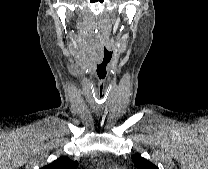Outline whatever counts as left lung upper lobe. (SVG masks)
<instances>
[{"instance_id":"left-lung-upper-lobe-1","label":"left lung upper lobe","mask_w":208,"mask_h":169,"mask_svg":"<svg viewBox=\"0 0 208 169\" xmlns=\"http://www.w3.org/2000/svg\"><path fill=\"white\" fill-rule=\"evenodd\" d=\"M132 161L138 169H159L156 165L141 157L140 154H134Z\"/></svg>"}]
</instances>
